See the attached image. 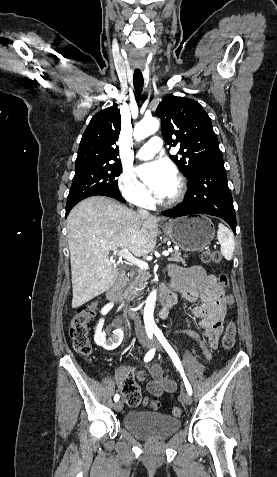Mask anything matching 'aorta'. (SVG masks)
<instances>
[{
	"label": "aorta",
	"instance_id": "1",
	"mask_svg": "<svg viewBox=\"0 0 277 477\" xmlns=\"http://www.w3.org/2000/svg\"><path fill=\"white\" fill-rule=\"evenodd\" d=\"M159 121L156 118L143 119L140 121L134 128V138L137 141H140L152 134H154L159 129ZM156 302V291L150 293L146 300L144 308V322L146 327L155 328L156 324L154 321V307Z\"/></svg>",
	"mask_w": 277,
	"mask_h": 477
}]
</instances>
